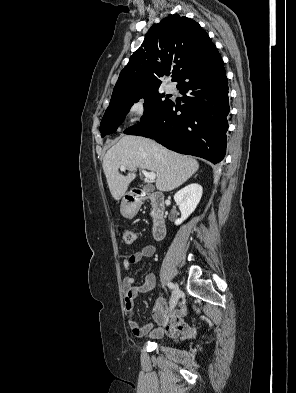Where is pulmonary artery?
I'll return each instance as SVG.
<instances>
[{
  "label": "pulmonary artery",
  "instance_id": "e3ab8cb5",
  "mask_svg": "<svg viewBox=\"0 0 296 393\" xmlns=\"http://www.w3.org/2000/svg\"><path fill=\"white\" fill-rule=\"evenodd\" d=\"M166 91H167L168 93L173 92V86L168 85L167 88H166Z\"/></svg>",
  "mask_w": 296,
  "mask_h": 393
}]
</instances>
